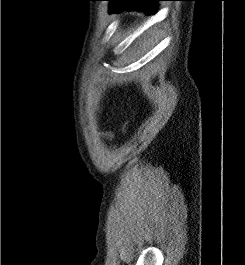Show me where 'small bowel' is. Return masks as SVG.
<instances>
[{
    "label": "small bowel",
    "instance_id": "small-bowel-1",
    "mask_svg": "<svg viewBox=\"0 0 245 265\" xmlns=\"http://www.w3.org/2000/svg\"><path fill=\"white\" fill-rule=\"evenodd\" d=\"M106 135H107V136H110V134H109V133H107Z\"/></svg>",
    "mask_w": 245,
    "mask_h": 265
}]
</instances>
